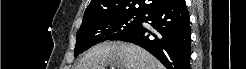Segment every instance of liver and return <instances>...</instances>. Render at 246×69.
I'll use <instances>...</instances> for the list:
<instances>
[{"label":"liver","mask_w":246,"mask_h":69,"mask_svg":"<svg viewBox=\"0 0 246 69\" xmlns=\"http://www.w3.org/2000/svg\"><path fill=\"white\" fill-rule=\"evenodd\" d=\"M164 69L149 52L129 43L104 42L89 49L76 69Z\"/></svg>","instance_id":"6515ba94"}]
</instances>
